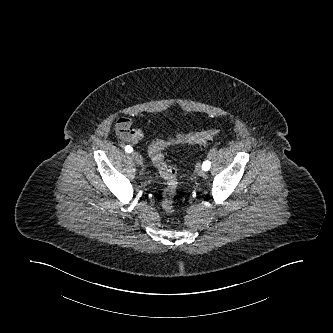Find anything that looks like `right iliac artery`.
<instances>
[{
  "mask_svg": "<svg viewBox=\"0 0 333 333\" xmlns=\"http://www.w3.org/2000/svg\"><path fill=\"white\" fill-rule=\"evenodd\" d=\"M125 151H126L127 153H131V152L133 151V148H132L130 145H127V146L125 147Z\"/></svg>",
  "mask_w": 333,
  "mask_h": 333,
  "instance_id": "obj_1",
  "label": "right iliac artery"
}]
</instances>
